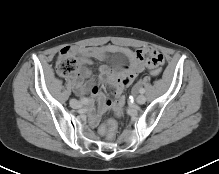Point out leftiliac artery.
<instances>
[{
    "instance_id": "obj_1",
    "label": "left iliac artery",
    "mask_w": 219,
    "mask_h": 174,
    "mask_svg": "<svg viewBox=\"0 0 219 174\" xmlns=\"http://www.w3.org/2000/svg\"><path fill=\"white\" fill-rule=\"evenodd\" d=\"M139 92H140L141 94H143V93L145 92V90H144L143 88H140Z\"/></svg>"
}]
</instances>
